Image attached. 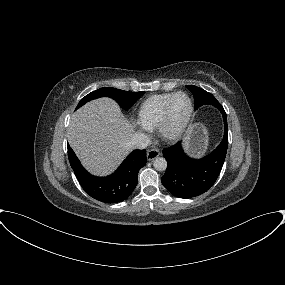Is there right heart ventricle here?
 <instances>
[{
    "label": "right heart ventricle",
    "mask_w": 285,
    "mask_h": 285,
    "mask_svg": "<svg viewBox=\"0 0 285 285\" xmlns=\"http://www.w3.org/2000/svg\"><path fill=\"white\" fill-rule=\"evenodd\" d=\"M173 94V92L156 94L143 100L137 109L138 123L149 130L157 128L162 118L164 106Z\"/></svg>",
    "instance_id": "right-heart-ventricle-1"
}]
</instances>
